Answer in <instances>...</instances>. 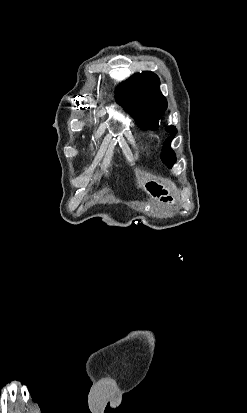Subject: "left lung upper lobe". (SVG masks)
<instances>
[{
  "instance_id": "5c2ea615",
  "label": "left lung upper lobe",
  "mask_w": 247,
  "mask_h": 413,
  "mask_svg": "<svg viewBox=\"0 0 247 413\" xmlns=\"http://www.w3.org/2000/svg\"><path fill=\"white\" fill-rule=\"evenodd\" d=\"M159 86L158 76L153 72L145 71L133 75L116 92L118 103L134 117L141 129H157L160 117L167 109L166 98L162 95ZM165 130L171 133V136L164 143L161 160L171 168L176 157L170 148V142L177 130L175 126H168Z\"/></svg>"
}]
</instances>
